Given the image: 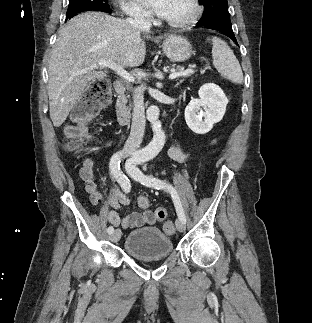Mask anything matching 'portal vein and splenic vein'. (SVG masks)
I'll list each match as a JSON object with an SVG mask.
<instances>
[{"label": "portal vein and splenic vein", "instance_id": "18ae733b", "mask_svg": "<svg viewBox=\"0 0 312 323\" xmlns=\"http://www.w3.org/2000/svg\"><path fill=\"white\" fill-rule=\"evenodd\" d=\"M111 68V70H114L116 72L117 76H121L123 80H127V82H134V78L122 68V66H116V64H111V62H105V60H100V62H97V64H93L91 68ZM193 70H184V72H172L169 76V80H175V78H178V76H190L192 74Z\"/></svg>", "mask_w": 312, "mask_h": 323}]
</instances>
